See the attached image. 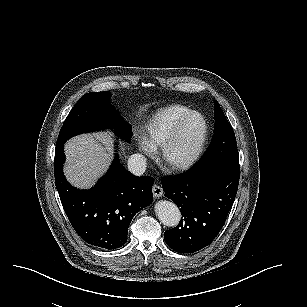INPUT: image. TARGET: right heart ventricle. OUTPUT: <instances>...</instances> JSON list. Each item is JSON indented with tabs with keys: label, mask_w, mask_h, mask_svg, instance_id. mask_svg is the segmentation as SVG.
I'll return each instance as SVG.
<instances>
[{
	"label": "right heart ventricle",
	"mask_w": 307,
	"mask_h": 307,
	"mask_svg": "<svg viewBox=\"0 0 307 307\" xmlns=\"http://www.w3.org/2000/svg\"><path fill=\"white\" fill-rule=\"evenodd\" d=\"M182 108L174 103L162 105L145 124L146 135L157 141L168 140L175 128L183 119Z\"/></svg>",
	"instance_id": "obj_1"
}]
</instances>
